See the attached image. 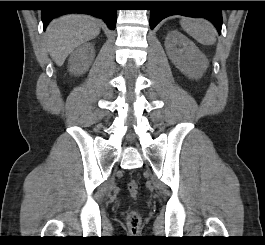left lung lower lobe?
<instances>
[{"instance_id": "obj_1", "label": "left lung lower lobe", "mask_w": 265, "mask_h": 245, "mask_svg": "<svg viewBox=\"0 0 265 245\" xmlns=\"http://www.w3.org/2000/svg\"><path fill=\"white\" fill-rule=\"evenodd\" d=\"M162 7L151 10L150 27L153 29L162 19L171 15L202 17L211 21L220 33L222 27L221 9L214 8L215 1H159ZM201 5L205 8H192ZM208 6V7H207Z\"/></svg>"}]
</instances>
